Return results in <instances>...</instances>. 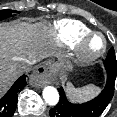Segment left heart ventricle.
<instances>
[{"mask_svg": "<svg viewBox=\"0 0 117 117\" xmlns=\"http://www.w3.org/2000/svg\"><path fill=\"white\" fill-rule=\"evenodd\" d=\"M101 46H102L101 38L94 37L89 41L87 48L90 52H96L101 48Z\"/></svg>", "mask_w": 117, "mask_h": 117, "instance_id": "obj_1", "label": "left heart ventricle"}]
</instances>
